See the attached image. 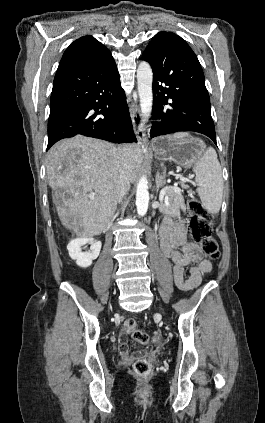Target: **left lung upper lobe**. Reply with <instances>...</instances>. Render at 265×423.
<instances>
[{
	"label": "left lung upper lobe",
	"instance_id": "left-lung-upper-lobe-1",
	"mask_svg": "<svg viewBox=\"0 0 265 423\" xmlns=\"http://www.w3.org/2000/svg\"><path fill=\"white\" fill-rule=\"evenodd\" d=\"M169 34H172V33H170V32H159L158 34H156L153 38H152V40H151V42L149 43V45H148V47H147V49L152 45V44H155V43H159V42H161L164 38H165V36H167V35H169ZM146 49V50H147Z\"/></svg>",
	"mask_w": 265,
	"mask_h": 423
}]
</instances>
